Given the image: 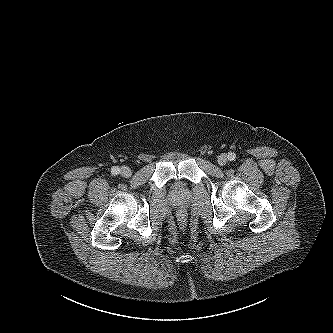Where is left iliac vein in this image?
I'll use <instances>...</instances> for the list:
<instances>
[{"label":"left iliac vein","mask_w":333,"mask_h":333,"mask_svg":"<svg viewBox=\"0 0 333 333\" xmlns=\"http://www.w3.org/2000/svg\"><path fill=\"white\" fill-rule=\"evenodd\" d=\"M228 162V156L226 154H221L219 157H218V164L220 166H224L226 165V163Z\"/></svg>","instance_id":"obj_1"}]
</instances>
